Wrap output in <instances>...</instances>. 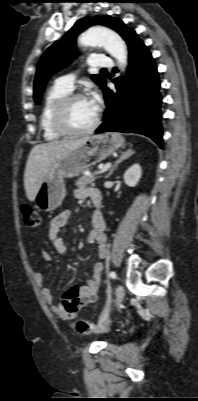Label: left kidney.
<instances>
[{"label":"left kidney","instance_id":"5707ae66","mask_svg":"<svg viewBox=\"0 0 198 401\" xmlns=\"http://www.w3.org/2000/svg\"><path fill=\"white\" fill-rule=\"evenodd\" d=\"M142 175L141 166L134 164L124 174V182L129 187H135Z\"/></svg>","mask_w":198,"mask_h":401}]
</instances>
